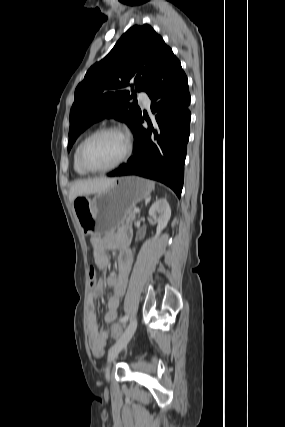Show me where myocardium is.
Wrapping results in <instances>:
<instances>
[{"instance_id": "obj_1", "label": "myocardium", "mask_w": 285, "mask_h": 427, "mask_svg": "<svg viewBox=\"0 0 285 427\" xmlns=\"http://www.w3.org/2000/svg\"><path fill=\"white\" fill-rule=\"evenodd\" d=\"M120 133L122 134L125 139H126V149L123 153V155L113 164L106 166V167H102V168H93L90 167L86 161H85V151L87 146L97 137L105 134V133ZM132 148H133V141H132V137L131 135L125 131L124 129L117 127V126H105L102 127L100 129H97L96 131H94L93 133H91L81 144L80 148H79V152H78V161L80 166L88 173H103V172H108L111 171L117 167H119L120 165H122L131 155L132 152Z\"/></svg>"}]
</instances>
